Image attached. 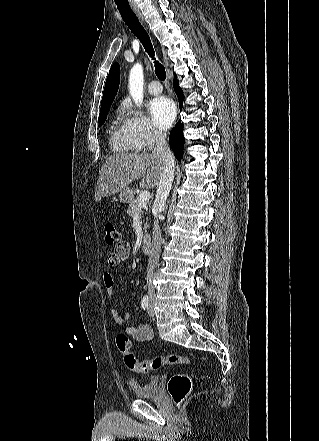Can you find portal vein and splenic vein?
Here are the masks:
<instances>
[{
    "label": "portal vein and splenic vein",
    "instance_id": "obj_1",
    "mask_svg": "<svg viewBox=\"0 0 319 441\" xmlns=\"http://www.w3.org/2000/svg\"><path fill=\"white\" fill-rule=\"evenodd\" d=\"M150 199V193L147 190H144L139 195V205L145 206Z\"/></svg>",
    "mask_w": 319,
    "mask_h": 441
}]
</instances>
